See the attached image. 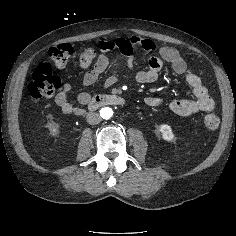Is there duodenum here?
Masks as SVG:
<instances>
[{
    "label": "duodenum",
    "mask_w": 236,
    "mask_h": 236,
    "mask_svg": "<svg viewBox=\"0 0 236 236\" xmlns=\"http://www.w3.org/2000/svg\"><path fill=\"white\" fill-rule=\"evenodd\" d=\"M124 102V99L119 95L99 94L89 97L86 104L90 109L94 110L102 106L123 105Z\"/></svg>",
    "instance_id": "obj_1"
}]
</instances>
